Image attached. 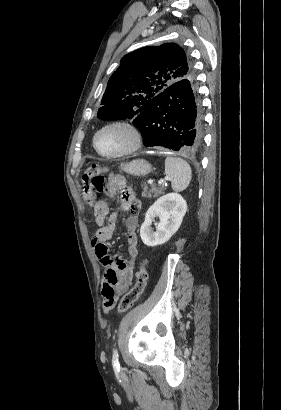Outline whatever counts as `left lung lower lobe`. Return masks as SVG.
<instances>
[{"label":"left lung lower lobe","mask_w":281,"mask_h":410,"mask_svg":"<svg viewBox=\"0 0 281 410\" xmlns=\"http://www.w3.org/2000/svg\"><path fill=\"white\" fill-rule=\"evenodd\" d=\"M133 124L146 147L197 150L203 140V117L194 77L175 82L152 98Z\"/></svg>","instance_id":"0a47b994"}]
</instances>
